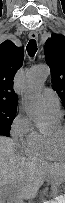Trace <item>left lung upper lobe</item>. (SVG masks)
I'll return each mask as SVG.
<instances>
[{
	"label": "left lung upper lobe",
	"mask_w": 65,
	"mask_h": 203,
	"mask_svg": "<svg viewBox=\"0 0 65 203\" xmlns=\"http://www.w3.org/2000/svg\"><path fill=\"white\" fill-rule=\"evenodd\" d=\"M44 53L52 73L53 89L65 102V38L53 34L45 44Z\"/></svg>",
	"instance_id": "obj_1"
}]
</instances>
